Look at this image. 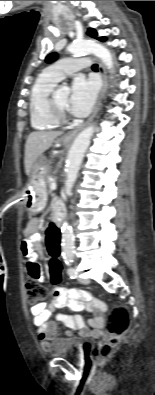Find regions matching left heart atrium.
I'll list each match as a JSON object with an SVG mask.
<instances>
[{"instance_id": "1", "label": "left heart atrium", "mask_w": 155, "mask_h": 395, "mask_svg": "<svg viewBox=\"0 0 155 395\" xmlns=\"http://www.w3.org/2000/svg\"><path fill=\"white\" fill-rule=\"evenodd\" d=\"M96 95L97 83L94 79L76 78L68 101L69 112L77 117L86 116L93 107Z\"/></svg>"}]
</instances>
